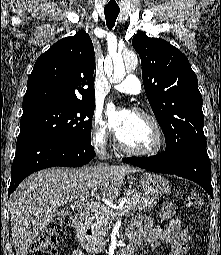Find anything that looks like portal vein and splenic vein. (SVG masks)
I'll use <instances>...</instances> for the list:
<instances>
[{
    "instance_id": "portal-vein-and-splenic-vein-1",
    "label": "portal vein and splenic vein",
    "mask_w": 221,
    "mask_h": 255,
    "mask_svg": "<svg viewBox=\"0 0 221 255\" xmlns=\"http://www.w3.org/2000/svg\"><path fill=\"white\" fill-rule=\"evenodd\" d=\"M87 199H88V196H86L85 198H83L81 200V204L85 208H88L89 210H92L96 213H101V212H105L108 210L104 205H100L99 203L88 202ZM130 209H131V206L129 204H126L122 208V211L120 212V214L124 215V214L128 213L130 211Z\"/></svg>"
}]
</instances>
